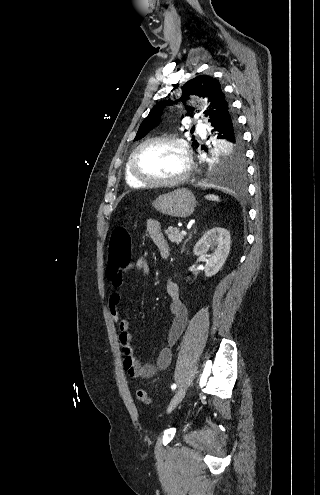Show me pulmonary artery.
I'll return each mask as SVG.
<instances>
[{"instance_id": "1", "label": "pulmonary artery", "mask_w": 320, "mask_h": 495, "mask_svg": "<svg viewBox=\"0 0 320 495\" xmlns=\"http://www.w3.org/2000/svg\"><path fill=\"white\" fill-rule=\"evenodd\" d=\"M197 129H200L201 128V124L200 123H197Z\"/></svg>"}]
</instances>
